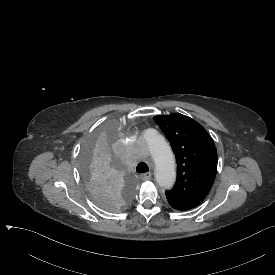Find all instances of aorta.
Here are the masks:
<instances>
[{"label":"aorta","instance_id":"1","mask_svg":"<svg viewBox=\"0 0 275 275\" xmlns=\"http://www.w3.org/2000/svg\"><path fill=\"white\" fill-rule=\"evenodd\" d=\"M164 142V134L158 128H149L143 134L146 155L150 164L156 168V181L160 187L170 189L176 180L175 160Z\"/></svg>","mask_w":275,"mask_h":275}]
</instances>
